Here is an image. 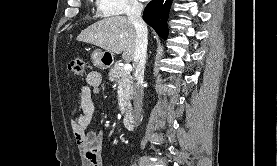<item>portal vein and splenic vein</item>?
<instances>
[{"mask_svg":"<svg viewBox=\"0 0 277 166\" xmlns=\"http://www.w3.org/2000/svg\"><path fill=\"white\" fill-rule=\"evenodd\" d=\"M131 65L129 64V63H127V64H125V66H124V70L125 71H130L131 70Z\"/></svg>","mask_w":277,"mask_h":166,"instance_id":"portal-vein-and-splenic-vein-1","label":"portal vein and splenic vein"}]
</instances>
